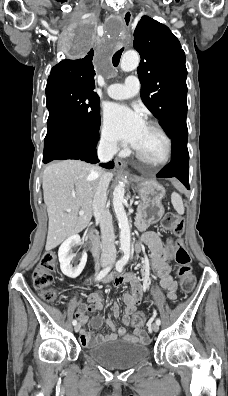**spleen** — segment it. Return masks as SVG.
Masks as SVG:
<instances>
[{"mask_svg": "<svg viewBox=\"0 0 228 396\" xmlns=\"http://www.w3.org/2000/svg\"><path fill=\"white\" fill-rule=\"evenodd\" d=\"M171 201L177 213L184 214V205H183L182 197L178 193L175 192L172 194Z\"/></svg>", "mask_w": 228, "mask_h": 396, "instance_id": "1", "label": "spleen"}]
</instances>
